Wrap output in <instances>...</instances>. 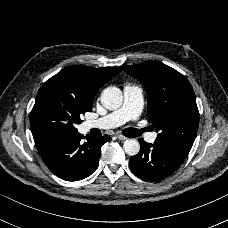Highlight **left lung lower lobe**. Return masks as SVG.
Masks as SVG:
<instances>
[{
    "label": "left lung lower lobe",
    "mask_w": 228,
    "mask_h": 228,
    "mask_svg": "<svg viewBox=\"0 0 228 228\" xmlns=\"http://www.w3.org/2000/svg\"><path fill=\"white\" fill-rule=\"evenodd\" d=\"M140 152L130 158V168L139 178L159 181L173 174L189 154V149L160 143L154 144L138 139Z\"/></svg>",
    "instance_id": "1"
}]
</instances>
